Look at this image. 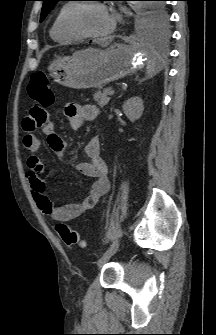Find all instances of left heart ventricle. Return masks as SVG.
Wrapping results in <instances>:
<instances>
[{"label":"left heart ventricle","instance_id":"b2bd125f","mask_svg":"<svg viewBox=\"0 0 216 335\" xmlns=\"http://www.w3.org/2000/svg\"><path fill=\"white\" fill-rule=\"evenodd\" d=\"M76 23L85 32L101 33L109 29L111 17L101 7L86 5L77 12Z\"/></svg>","mask_w":216,"mask_h":335}]
</instances>
